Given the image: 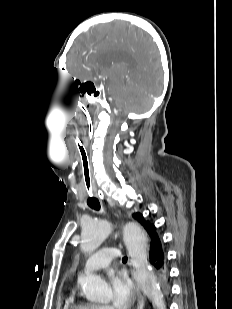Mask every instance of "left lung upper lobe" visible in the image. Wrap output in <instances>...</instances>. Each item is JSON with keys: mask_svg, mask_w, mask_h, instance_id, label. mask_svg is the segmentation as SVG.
Returning <instances> with one entry per match:
<instances>
[{"mask_svg": "<svg viewBox=\"0 0 232 309\" xmlns=\"http://www.w3.org/2000/svg\"><path fill=\"white\" fill-rule=\"evenodd\" d=\"M133 217L137 219L143 225V227L146 229L147 232L150 230L151 226L153 225L149 221H145L142 214L136 213L133 215Z\"/></svg>", "mask_w": 232, "mask_h": 309, "instance_id": "obj_1", "label": "left lung upper lobe"}]
</instances>
